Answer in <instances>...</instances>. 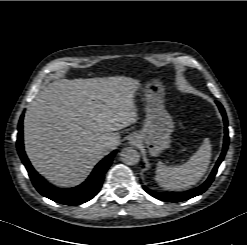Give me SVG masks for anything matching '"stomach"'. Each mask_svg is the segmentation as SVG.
Here are the masks:
<instances>
[{"mask_svg": "<svg viewBox=\"0 0 247 245\" xmlns=\"http://www.w3.org/2000/svg\"><path fill=\"white\" fill-rule=\"evenodd\" d=\"M146 118L144 127L138 133L152 156H158L170 147L174 131L172 117L165 109V86L160 78H152L144 84Z\"/></svg>", "mask_w": 247, "mask_h": 245, "instance_id": "0dacf381", "label": "stomach"}]
</instances>
